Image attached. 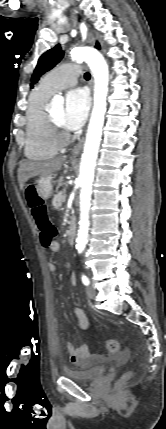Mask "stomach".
Here are the masks:
<instances>
[{
  "mask_svg": "<svg viewBox=\"0 0 166 429\" xmlns=\"http://www.w3.org/2000/svg\"><path fill=\"white\" fill-rule=\"evenodd\" d=\"M36 183L35 189L39 192L38 196L44 200L48 199L52 195L53 190L51 176H41Z\"/></svg>",
  "mask_w": 166,
  "mask_h": 429,
  "instance_id": "obj_1",
  "label": "stomach"
}]
</instances>
